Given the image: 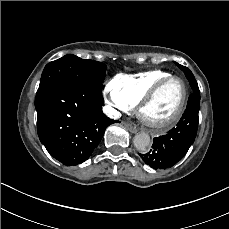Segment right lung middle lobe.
<instances>
[{"mask_svg":"<svg viewBox=\"0 0 229 229\" xmlns=\"http://www.w3.org/2000/svg\"><path fill=\"white\" fill-rule=\"evenodd\" d=\"M105 73L106 65L102 62L66 55L45 66L36 96L51 85L65 80L79 81L102 90Z\"/></svg>","mask_w":229,"mask_h":229,"instance_id":"obj_1","label":"right lung middle lobe"}]
</instances>
